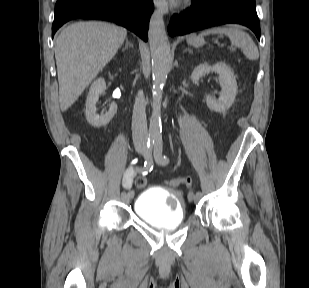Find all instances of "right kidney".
Instances as JSON below:
<instances>
[{"instance_id": "obj_1", "label": "right kidney", "mask_w": 309, "mask_h": 288, "mask_svg": "<svg viewBox=\"0 0 309 288\" xmlns=\"http://www.w3.org/2000/svg\"><path fill=\"white\" fill-rule=\"evenodd\" d=\"M106 83L103 78H98L93 82L89 89L88 97L86 100V119L88 123L94 127H102L107 125L113 116L117 112V104L111 103L109 110L103 114H96V103L98 102L99 96L105 91Z\"/></svg>"}]
</instances>
